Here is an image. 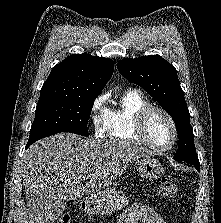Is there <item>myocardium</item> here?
<instances>
[{
    "label": "myocardium",
    "mask_w": 221,
    "mask_h": 223,
    "mask_svg": "<svg viewBox=\"0 0 221 223\" xmlns=\"http://www.w3.org/2000/svg\"><path fill=\"white\" fill-rule=\"evenodd\" d=\"M155 112H159L163 114L168 119L171 125V128L173 130L172 141L167 146L155 145L154 143L150 141V139L147 136V123L151 115ZM133 131H134L135 136L138 138L140 142H142L148 148L155 151H160V152H165L172 149L177 143L178 137H179L178 127H177L174 117L166 109L159 106H153V105H150L142 109L138 113Z\"/></svg>",
    "instance_id": "f54148a6"
}]
</instances>
